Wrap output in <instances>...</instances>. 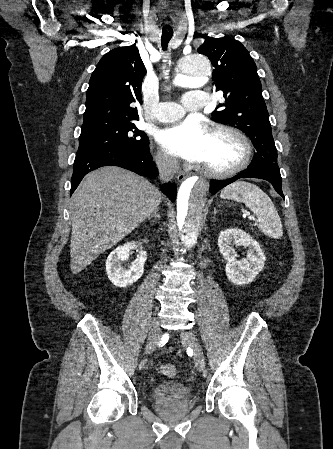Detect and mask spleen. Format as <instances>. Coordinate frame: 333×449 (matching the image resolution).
Listing matches in <instances>:
<instances>
[{
    "label": "spleen",
    "mask_w": 333,
    "mask_h": 449,
    "mask_svg": "<svg viewBox=\"0 0 333 449\" xmlns=\"http://www.w3.org/2000/svg\"><path fill=\"white\" fill-rule=\"evenodd\" d=\"M221 198L243 202L256 216L259 230L271 238L283 236L280 216L269 196L258 186L237 181L226 186L220 194Z\"/></svg>",
    "instance_id": "3e777b00"
}]
</instances>
